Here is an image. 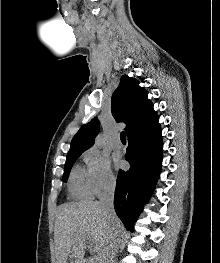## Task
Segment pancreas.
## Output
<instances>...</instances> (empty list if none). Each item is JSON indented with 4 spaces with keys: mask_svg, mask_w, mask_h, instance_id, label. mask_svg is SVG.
<instances>
[{
    "mask_svg": "<svg viewBox=\"0 0 220 263\" xmlns=\"http://www.w3.org/2000/svg\"><path fill=\"white\" fill-rule=\"evenodd\" d=\"M94 263H102V260H98V259H97V261L94 262Z\"/></svg>",
    "mask_w": 220,
    "mask_h": 263,
    "instance_id": "1",
    "label": "pancreas"
}]
</instances>
